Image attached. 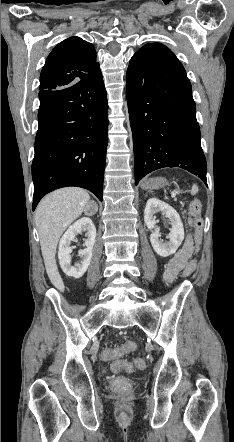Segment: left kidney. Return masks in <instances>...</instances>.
Here are the masks:
<instances>
[{
    "label": "left kidney",
    "mask_w": 234,
    "mask_h": 442,
    "mask_svg": "<svg viewBox=\"0 0 234 442\" xmlns=\"http://www.w3.org/2000/svg\"><path fill=\"white\" fill-rule=\"evenodd\" d=\"M162 212L171 222V232L168 234L169 242L159 240L161 236L159 227L156 226L154 214ZM144 222L151 230L150 242L154 251L161 257H168L176 252L184 239V228L179 214L169 204L157 199L150 198L144 211Z\"/></svg>",
    "instance_id": "5707ae66"
}]
</instances>
